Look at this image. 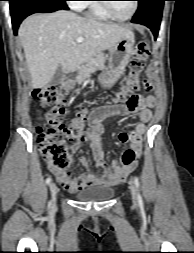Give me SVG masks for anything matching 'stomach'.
Listing matches in <instances>:
<instances>
[{"label":"stomach","mask_w":194,"mask_h":253,"mask_svg":"<svg viewBox=\"0 0 194 253\" xmlns=\"http://www.w3.org/2000/svg\"><path fill=\"white\" fill-rule=\"evenodd\" d=\"M134 53V38H123L110 49L108 67L101 73L99 80L103 87H111L124 72L130 57ZM73 82L69 83V87Z\"/></svg>","instance_id":"obj_1"}]
</instances>
